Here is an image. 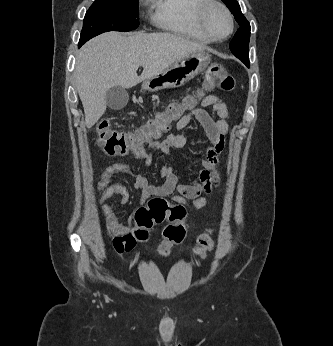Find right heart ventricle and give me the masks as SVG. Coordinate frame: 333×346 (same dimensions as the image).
Wrapping results in <instances>:
<instances>
[{
  "instance_id": "right-heart-ventricle-1",
  "label": "right heart ventricle",
  "mask_w": 333,
  "mask_h": 346,
  "mask_svg": "<svg viewBox=\"0 0 333 346\" xmlns=\"http://www.w3.org/2000/svg\"><path fill=\"white\" fill-rule=\"evenodd\" d=\"M153 9L155 24L164 30L184 36L198 43H210L202 30L198 12L207 0H148Z\"/></svg>"
}]
</instances>
